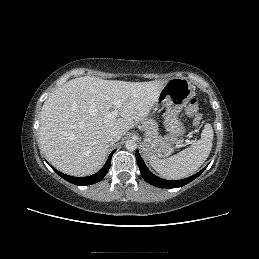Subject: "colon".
I'll use <instances>...</instances> for the list:
<instances>
[{"mask_svg":"<svg viewBox=\"0 0 259 259\" xmlns=\"http://www.w3.org/2000/svg\"><path fill=\"white\" fill-rule=\"evenodd\" d=\"M185 112L192 118L195 126H199L201 124L202 117L199 111L198 100L195 97H192L188 101Z\"/></svg>","mask_w":259,"mask_h":259,"instance_id":"1","label":"colon"}]
</instances>
